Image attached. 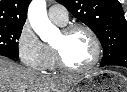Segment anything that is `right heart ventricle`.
Instances as JSON below:
<instances>
[{"label":"right heart ventricle","instance_id":"obj_1","mask_svg":"<svg viewBox=\"0 0 127 92\" xmlns=\"http://www.w3.org/2000/svg\"><path fill=\"white\" fill-rule=\"evenodd\" d=\"M55 23L60 25V26L65 25V24H60L58 22H55ZM46 47H47V50H48V61H47L45 69L54 70V69H56V62H55V58H54V53H53L52 47L49 46V45H46Z\"/></svg>","mask_w":127,"mask_h":92}]
</instances>
